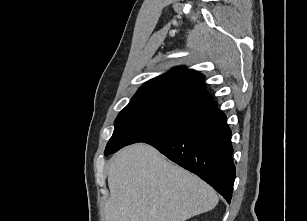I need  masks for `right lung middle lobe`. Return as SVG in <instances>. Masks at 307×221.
Instances as JSON below:
<instances>
[{"label":"right lung middle lobe","instance_id":"right-lung-middle-lobe-1","mask_svg":"<svg viewBox=\"0 0 307 221\" xmlns=\"http://www.w3.org/2000/svg\"><path fill=\"white\" fill-rule=\"evenodd\" d=\"M209 111L206 107L184 102H130L117 116L113 135L104 153L112 154L129 144L148 143L176 134Z\"/></svg>","mask_w":307,"mask_h":221}]
</instances>
